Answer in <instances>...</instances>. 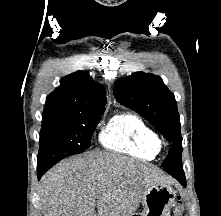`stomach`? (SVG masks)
Segmentation results:
<instances>
[{
  "label": "stomach",
  "instance_id": "0dacf381",
  "mask_svg": "<svg viewBox=\"0 0 221 216\" xmlns=\"http://www.w3.org/2000/svg\"><path fill=\"white\" fill-rule=\"evenodd\" d=\"M176 192L165 183L152 185L143 194L141 213H133L132 216H169L174 204Z\"/></svg>",
  "mask_w": 221,
  "mask_h": 216
}]
</instances>
